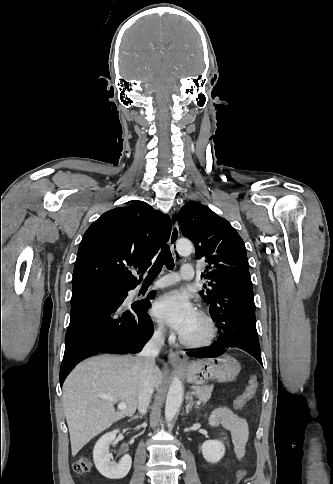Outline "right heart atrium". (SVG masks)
I'll use <instances>...</instances> for the list:
<instances>
[{
  "instance_id": "obj_1",
  "label": "right heart atrium",
  "mask_w": 333,
  "mask_h": 484,
  "mask_svg": "<svg viewBox=\"0 0 333 484\" xmlns=\"http://www.w3.org/2000/svg\"><path fill=\"white\" fill-rule=\"evenodd\" d=\"M164 334V326L162 324H158L155 330V335L158 338H161Z\"/></svg>"
}]
</instances>
